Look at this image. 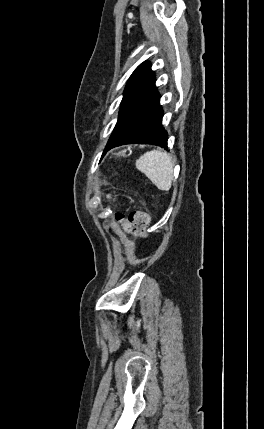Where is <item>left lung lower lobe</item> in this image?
I'll return each mask as SVG.
<instances>
[{"label":"left lung lower lobe","mask_w":264,"mask_h":429,"mask_svg":"<svg viewBox=\"0 0 264 429\" xmlns=\"http://www.w3.org/2000/svg\"><path fill=\"white\" fill-rule=\"evenodd\" d=\"M156 89L135 109L119 137L107 150L124 144H154L167 149V132L162 127L163 111Z\"/></svg>","instance_id":"1"}]
</instances>
